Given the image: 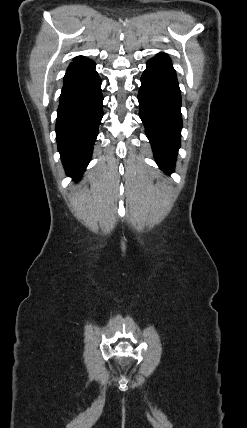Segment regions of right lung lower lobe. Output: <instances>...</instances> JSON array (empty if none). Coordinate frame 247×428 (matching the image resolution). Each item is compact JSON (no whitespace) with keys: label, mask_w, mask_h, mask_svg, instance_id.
<instances>
[{"label":"right lung lower lobe","mask_w":247,"mask_h":428,"mask_svg":"<svg viewBox=\"0 0 247 428\" xmlns=\"http://www.w3.org/2000/svg\"><path fill=\"white\" fill-rule=\"evenodd\" d=\"M101 79L90 59L74 60L59 99L56 139L68 176L78 180L91 160L103 116Z\"/></svg>","instance_id":"obj_1"}]
</instances>
